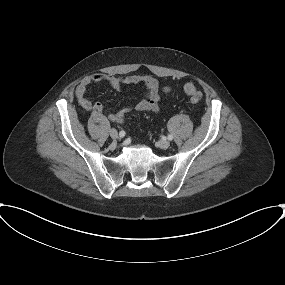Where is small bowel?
I'll return each mask as SVG.
<instances>
[{
  "label": "small bowel",
  "instance_id": "obj_1",
  "mask_svg": "<svg viewBox=\"0 0 285 285\" xmlns=\"http://www.w3.org/2000/svg\"><path fill=\"white\" fill-rule=\"evenodd\" d=\"M104 82L108 83L112 89L117 91L121 90L122 86L124 85L135 84L142 85L146 90L145 97L134 105L124 106L117 112L106 111L107 118L110 121L119 124L124 123L126 113L131 110H136L139 112H157L160 107L162 95L168 94L172 90L171 86L168 84L160 86L158 80L149 75L119 76L106 73H95L83 79L75 91L77 101L84 110L95 111L97 113L104 111V106L101 102H92L87 97V91L90 85Z\"/></svg>",
  "mask_w": 285,
  "mask_h": 285
}]
</instances>
